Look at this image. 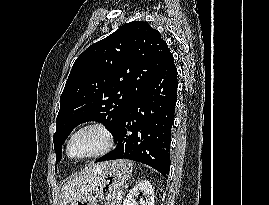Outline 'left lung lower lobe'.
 I'll return each instance as SVG.
<instances>
[{
    "instance_id": "obj_1",
    "label": "left lung lower lobe",
    "mask_w": 269,
    "mask_h": 205,
    "mask_svg": "<svg viewBox=\"0 0 269 205\" xmlns=\"http://www.w3.org/2000/svg\"><path fill=\"white\" fill-rule=\"evenodd\" d=\"M177 86V69L171 54L124 113L112 134L118 142L116 148L96 162L130 159L147 164L168 178Z\"/></svg>"
}]
</instances>
